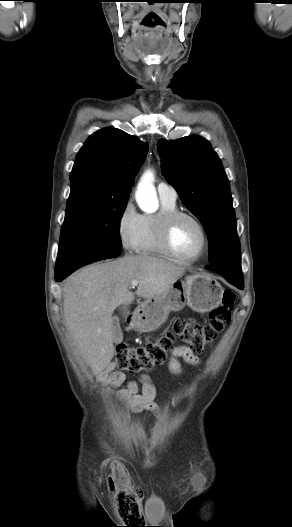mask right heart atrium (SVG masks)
<instances>
[{"instance_id":"d8ad5b80","label":"right heart atrium","mask_w":292,"mask_h":527,"mask_svg":"<svg viewBox=\"0 0 292 527\" xmlns=\"http://www.w3.org/2000/svg\"><path fill=\"white\" fill-rule=\"evenodd\" d=\"M141 215L132 200H128L122 207L117 219V235L122 247L128 251L135 248L137 232Z\"/></svg>"}]
</instances>
